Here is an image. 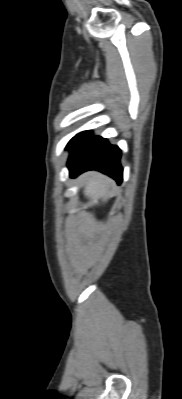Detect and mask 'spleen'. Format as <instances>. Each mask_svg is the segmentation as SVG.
I'll use <instances>...</instances> for the list:
<instances>
[{"label": "spleen", "mask_w": 182, "mask_h": 399, "mask_svg": "<svg viewBox=\"0 0 182 399\" xmlns=\"http://www.w3.org/2000/svg\"><path fill=\"white\" fill-rule=\"evenodd\" d=\"M84 193L92 198H104L108 194L110 181L97 174L88 175L85 179Z\"/></svg>", "instance_id": "obj_1"}]
</instances>
